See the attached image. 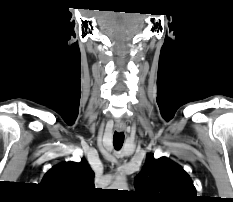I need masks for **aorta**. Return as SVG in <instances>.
Wrapping results in <instances>:
<instances>
[{
  "label": "aorta",
  "mask_w": 233,
  "mask_h": 202,
  "mask_svg": "<svg viewBox=\"0 0 233 202\" xmlns=\"http://www.w3.org/2000/svg\"><path fill=\"white\" fill-rule=\"evenodd\" d=\"M126 188H127L126 179L123 177L116 179V181L111 186V189H118V190H126Z\"/></svg>",
  "instance_id": "obj_1"
}]
</instances>
